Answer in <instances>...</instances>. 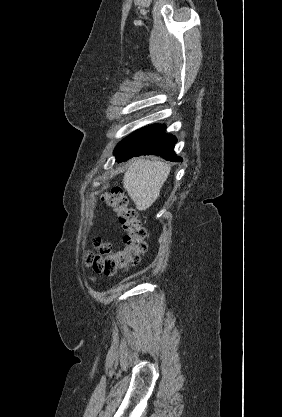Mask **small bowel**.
Listing matches in <instances>:
<instances>
[{
	"instance_id": "small-bowel-1",
	"label": "small bowel",
	"mask_w": 282,
	"mask_h": 417,
	"mask_svg": "<svg viewBox=\"0 0 282 417\" xmlns=\"http://www.w3.org/2000/svg\"><path fill=\"white\" fill-rule=\"evenodd\" d=\"M86 278H87V280H89L91 282H94V283L96 282V278L94 276H87Z\"/></svg>"
}]
</instances>
